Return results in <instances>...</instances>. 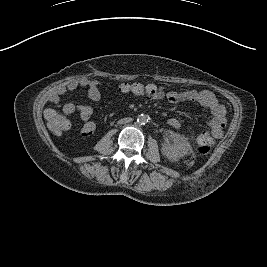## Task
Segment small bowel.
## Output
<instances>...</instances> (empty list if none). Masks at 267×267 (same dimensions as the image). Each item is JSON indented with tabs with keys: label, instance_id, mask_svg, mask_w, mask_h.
<instances>
[{
	"label": "small bowel",
	"instance_id": "1",
	"mask_svg": "<svg viewBox=\"0 0 267 267\" xmlns=\"http://www.w3.org/2000/svg\"><path fill=\"white\" fill-rule=\"evenodd\" d=\"M79 87L87 89V96L90 100H100V83L97 80L82 78L77 81L70 82L63 91L54 97L53 101L58 102L61 94L67 91H73ZM165 97L170 103H196L207 108L211 113V118L207 121L210 131L203 132L201 134L206 135L211 143H213L214 140L222 137L223 129L226 125V109L212 92L208 90L195 89L169 91ZM154 98L158 99L159 97L156 96ZM63 112L66 114H71L74 112L78 113L80 119L84 123L81 127L82 134L90 135L95 131L96 125L93 121H91V116L93 114V109L91 106L85 104L66 103L63 106ZM168 124L176 129L181 127V121L177 118H170L168 120Z\"/></svg>",
	"mask_w": 267,
	"mask_h": 267
}]
</instances>
